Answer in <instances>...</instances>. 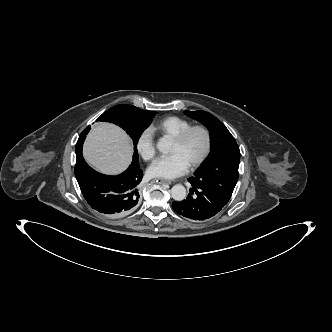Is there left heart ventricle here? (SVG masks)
<instances>
[{"label":"left heart ventricle","mask_w":332,"mask_h":332,"mask_svg":"<svg viewBox=\"0 0 332 332\" xmlns=\"http://www.w3.org/2000/svg\"><path fill=\"white\" fill-rule=\"evenodd\" d=\"M205 146V137L201 131L192 132L187 140L179 145L173 141L171 153L180 154L184 160L190 164L203 151Z\"/></svg>","instance_id":"b2bd125f"}]
</instances>
